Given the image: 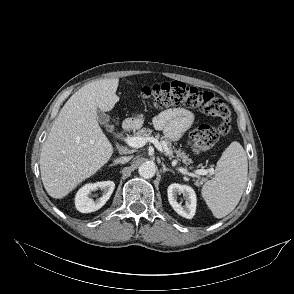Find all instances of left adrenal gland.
<instances>
[{
	"instance_id": "obj_1",
	"label": "left adrenal gland",
	"mask_w": 294,
	"mask_h": 294,
	"mask_svg": "<svg viewBox=\"0 0 294 294\" xmlns=\"http://www.w3.org/2000/svg\"><path fill=\"white\" fill-rule=\"evenodd\" d=\"M162 170H163V173H165L166 171H169V172L174 173V171L171 170V169H169V168H167L164 163H162Z\"/></svg>"
}]
</instances>
